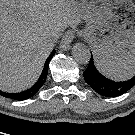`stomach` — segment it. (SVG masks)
<instances>
[{
	"label": "stomach",
	"mask_w": 135,
	"mask_h": 135,
	"mask_svg": "<svg viewBox=\"0 0 135 135\" xmlns=\"http://www.w3.org/2000/svg\"><path fill=\"white\" fill-rule=\"evenodd\" d=\"M86 21L84 36L95 57L115 61L135 55V4L132 0H66Z\"/></svg>",
	"instance_id": "stomach-1"
}]
</instances>
